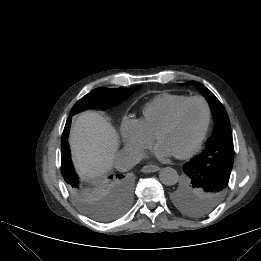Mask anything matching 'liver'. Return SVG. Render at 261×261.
I'll return each instance as SVG.
<instances>
[{"mask_svg":"<svg viewBox=\"0 0 261 261\" xmlns=\"http://www.w3.org/2000/svg\"><path fill=\"white\" fill-rule=\"evenodd\" d=\"M69 143L76 170L89 180L100 179L111 170L119 148L115 129L95 111H85L78 115Z\"/></svg>","mask_w":261,"mask_h":261,"instance_id":"1","label":"liver"}]
</instances>
